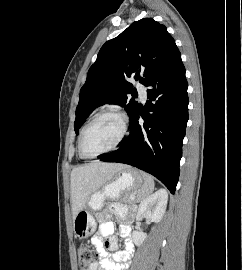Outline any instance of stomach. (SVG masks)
Returning a JSON list of instances; mask_svg holds the SVG:
<instances>
[{
    "instance_id": "stomach-1",
    "label": "stomach",
    "mask_w": 242,
    "mask_h": 270,
    "mask_svg": "<svg viewBox=\"0 0 242 270\" xmlns=\"http://www.w3.org/2000/svg\"><path fill=\"white\" fill-rule=\"evenodd\" d=\"M143 184V176L136 169L126 167L119 171L113 180L89 197L87 207L75 216L73 219L75 236L84 239L95 231L96 221L90 210H100L106 199H118L124 193H136Z\"/></svg>"
}]
</instances>
